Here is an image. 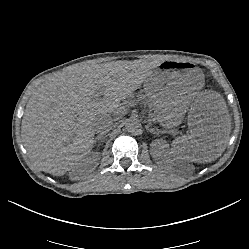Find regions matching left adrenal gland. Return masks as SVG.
I'll return each mask as SVG.
<instances>
[{"mask_svg":"<svg viewBox=\"0 0 249 249\" xmlns=\"http://www.w3.org/2000/svg\"><path fill=\"white\" fill-rule=\"evenodd\" d=\"M146 130H147L148 132H150V133H153L155 129L146 126Z\"/></svg>","mask_w":249,"mask_h":249,"instance_id":"left-adrenal-gland-1","label":"left adrenal gland"}]
</instances>
